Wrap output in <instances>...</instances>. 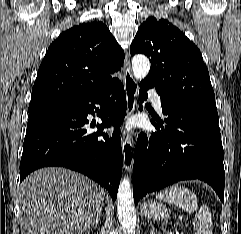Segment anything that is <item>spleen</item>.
<instances>
[{
    "instance_id": "3e777b00",
    "label": "spleen",
    "mask_w": 241,
    "mask_h": 234,
    "mask_svg": "<svg viewBox=\"0 0 241 234\" xmlns=\"http://www.w3.org/2000/svg\"><path fill=\"white\" fill-rule=\"evenodd\" d=\"M156 198L165 202H169L180 209L192 213L197 210V197L189 189L181 185H172L160 191ZM212 216L206 205H202L196 211L193 228L196 230L195 234H212Z\"/></svg>"
}]
</instances>
